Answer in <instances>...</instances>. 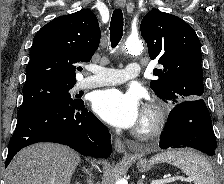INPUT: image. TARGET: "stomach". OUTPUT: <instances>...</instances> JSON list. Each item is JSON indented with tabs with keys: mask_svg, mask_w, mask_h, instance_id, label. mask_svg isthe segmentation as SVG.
I'll list each match as a JSON object with an SVG mask.
<instances>
[{
	"mask_svg": "<svg viewBox=\"0 0 224 184\" xmlns=\"http://www.w3.org/2000/svg\"><path fill=\"white\" fill-rule=\"evenodd\" d=\"M151 165L149 161H147L146 159H139L137 161V168L139 171L141 172H147L151 169Z\"/></svg>",
	"mask_w": 224,
	"mask_h": 184,
	"instance_id": "stomach-1",
	"label": "stomach"
}]
</instances>
